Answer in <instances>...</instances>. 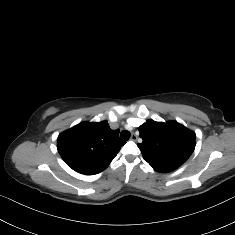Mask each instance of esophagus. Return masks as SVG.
Returning <instances> with one entry per match:
<instances>
[{"label":"esophagus","instance_id":"obj_1","mask_svg":"<svg viewBox=\"0 0 235 235\" xmlns=\"http://www.w3.org/2000/svg\"><path fill=\"white\" fill-rule=\"evenodd\" d=\"M132 141H137V139H138V136L135 134V133H133L132 135H131V138H130Z\"/></svg>","mask_w":235,"mask_h":235}]
</instances>
